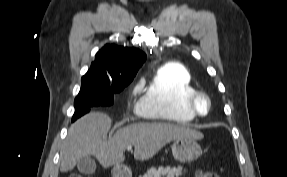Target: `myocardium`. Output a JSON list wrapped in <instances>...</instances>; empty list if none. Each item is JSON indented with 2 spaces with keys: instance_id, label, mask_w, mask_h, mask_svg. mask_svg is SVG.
Wrapping results in <instances>:
<instances>
[{
  "instance_id": "myocardium-1",
  "label": "myocardium",
  "mask_w": 287,
  "mask_h": 177,
  "mask_svg": "<svg viewBox=\"0 0 287 177\" xmlns=\"http://www.w3.org/2000/svg\"><path fill=\"white\" fill-rule=\"evenodd\" d=\"M204 102L205 110L202 111L200 103ZM188 106L191 111L197 116H206L212 108V101L210 96L204 91H194L188 99Z\"/></svg>"
}]
</instances>
